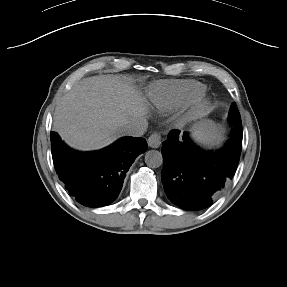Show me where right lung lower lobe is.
I'll list each match as a JSON object with an SVG mask.
<instances>
[{
    "label": "right lung lower lobe",
    "mask_w": 287,
    "mask_h": 287,
    "mask_svg": "<svg viewBox=\"0 0 287 287\" xmlns=\"http://www.w3.org/2000/svg\"><path fill=\"white\" fill-rule=\"evenodd\" d=\"M148 148L141 137H124L94 152L69 148L56 132L51 133L55 170L69 194L84 206L99 207L113 202L135 158Z\"/></svg>",
    "instance_id": "98d812e1"
}]
</instances>
